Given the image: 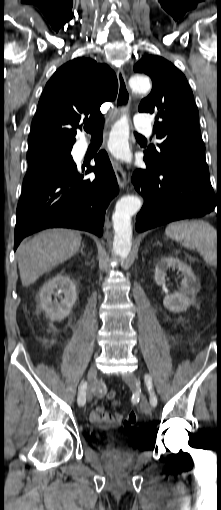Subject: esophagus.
<instances>
[{"instance_id": "34e87169", "label": "esophagus", "mask_w": 221, "mask_h": 510, "mask_svg": "<svg viewBox=\"0 0 221 510\" xmlns=\"http://www.w3.org/2000/svg\"><path fill=\"white\" fill-rule=\"evenodd\" d=\"M117 80H118V92L115 101V109H114V118L118 119L122 115L126 114L130 105V94L127 86V81L125 74L121 68L117 71ZM111 164L117 178L118 184L121 189L126 188L127 186V176L126 172L120 165L118 161L113 158H110Z\"/></svg>"}]
</instances>
